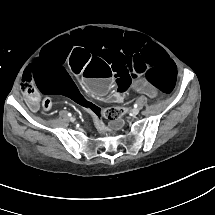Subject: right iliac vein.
I'll list each match as a JSON object with an SVG mask.
<instances>
[{
	"label": "right iliac vein",
	"instance_id": "obj_1",
	"mask_svg": "<svg viewBox=\"0 0 215 215\" xmlns=\"http://www.w3.org/2000/svg\"><path fill=\"white\" fill-rule=\"evenodd\" d=\"M70 121H71V122H74V121H75V118H74V117H71V118H70Z\"/></svg>",
	"mask_w": 215,
	"mask_h": 215
}]
</instances>
